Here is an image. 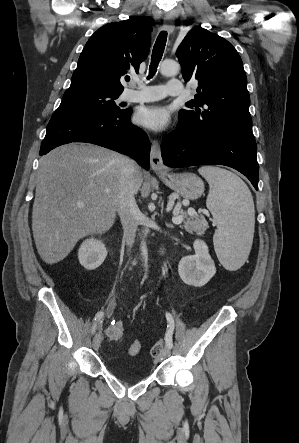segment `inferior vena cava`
Wrapping results in <instances>:
<instances>
[{
  "instance_id": "obj_1",
  "label": "inferior vena cava",
  "mask_w": 299,
  "mask_h": 443,
  "mask_svg": "<svg viewBox=\"0 0 299 443\" xmlns=\"http://www.w3.org/2000/svg\"><path fill=\"white\" fill-rule=\"evenodd\" d=\"M136 167L137 165L131 160L123 166L117 196V210L123 227V240L129 247L134 244L138 226L139 209L134 198L137 190Z\"/></svg>"
}]
</instances>
